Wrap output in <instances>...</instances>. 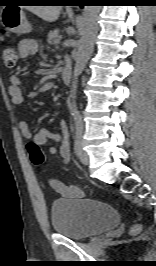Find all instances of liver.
<instances>
[{
	"mask_svg": "<svg viewBox=\"0 0 156 266\" xmlns=\"http://www.w3.org/2000/svg\"><path fill=\"white\" fill-rule=\"evenodd\" d=\"M61 6H27V10L47 22H54L59 18Z\"/></svg>",
	"mask_w": 156,
	"mask_h": 266,
	"instance_id": "6515ba94",
	"label": "liver"
}]
</instances>
